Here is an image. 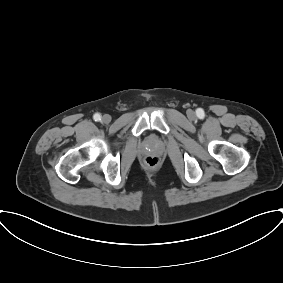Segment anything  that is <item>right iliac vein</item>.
<instances>
[{
    "mask_svg": "<svg viewBox=\"0 0 283 283\" xmlns=\"http://www.w3.org/2000/svg\"><path fill=\"white\" fill-rule=\"evenodd\" d=\"M110 121H111V116H110L109 114L103 115V117H102V122H103L104 124H108V123H110Z\"/></svg>",
    "mask_w": 283,
    "mask_h": 283,
    "instance_id": "63e3f726",
    "label": "right iliac vein"
}]
</instances>
